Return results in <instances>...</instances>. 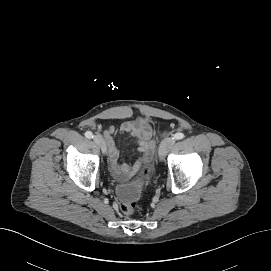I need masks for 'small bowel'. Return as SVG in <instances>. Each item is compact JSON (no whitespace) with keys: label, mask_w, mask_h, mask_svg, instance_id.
I'll return each mask as SVG.
<instances>
[{"label":"small bowel","mask_w":271,"mask_h":271,"mask_svg":"<svg viewBox=\"0 0 271 271\" xmlns=\"http://www.w3.org/2000/svg\"><path fill=\"white\" fill-rule=\"evenodd\" d=\"M116 133L128 135L135 140L140 156L134 163L120 161V152L113 140V135ZM153 136L152 125L142 118L123 122L118 127L111 125L104 130L103 137L108 147L110 170L117 179L125 180L133 176L143 163H149L153 159L155 149Z\"/></svg>","instance_id":"obj_1"}]
</instances>
